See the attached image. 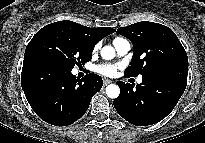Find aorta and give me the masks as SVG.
Returning <instances> with one entry per match:
<instances>
[{
	"instance_id": "1",
	"label": "aorta",
	"mask_w": 205,
	"mask_h": 143,
	"mask_svg": "<svg viewBox=\"0 0 205 143\" xmlns=\"http://www.w3.org/2000/svg\"><path fill=\"white\" fill-rule=\"evenodd\" d=\"M101 57L105 60H111L115 57V49L111 46H104L101 49ZM106 94L109 98L115 99L120 94V89L116 84H110L106 87Z\"/></svg>"
}]
</instances>
